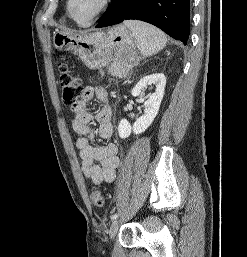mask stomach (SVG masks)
Returning <instances> with one entry per match:
<instances>
[{"label": "stomach", "mask_w": 247, "mask_h": 257, "mask_svg": "<svg viewBox=\"0 0 247 257\" xmlns=\"http://www.w3.org/2000/svg\"><path fill=\"white\" fill-rule=\"evenodd\" d=\"M53 45L60 51H74L90 69H100L109 63L129 68L139 59L134 35L124 25L115 26L106 33L72 35L57 32L53 36Z\"/></svg>", "instance_id": "stomach-1"}]
</instances>
